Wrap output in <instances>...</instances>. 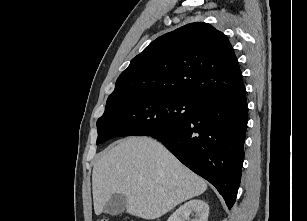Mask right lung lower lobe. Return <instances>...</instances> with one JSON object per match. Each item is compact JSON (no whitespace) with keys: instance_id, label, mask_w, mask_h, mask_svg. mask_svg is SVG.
I'll list each match as a JSON object with an SVG mask.
<instances>
[{"instance_id":"98d812e1","label":"right lung lower lobe","mask_w":307,"mask_h":221,"mask_svg":"<svg viewBox=\"0 0 307 221\" xmlns=\"http://www.w3.org/2000/svg\"><path fill=\"white\" fill-rule=\"evenodd\" d=\"M247 121L244 88L198 103L188 120L150 136L214 185L230 209L241 180Z\"/></svg>"}]
</instances>
